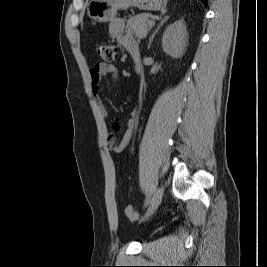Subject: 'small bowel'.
Returning a JSON list of instances; mask_svg holds the SVG:
<instances>
[{
  "mask_svg": "<svg viewBox=\"0 0 267 267\" xmlns=\"http://www.w3.org/2000/svg\"><path fill=\"white\" fill-rule=\"evenodd\" d=\"M109 33L112 38H115L132 56L136 61L140 59V48L135 39L126 31L124 22L117 18L114 19L109 25ZM91 84H92V94L94 96L96 105L99 109L100 114L106 118L108 116L107 110L99 96V84L102 77L106 75H112L116 78L118 75L117 68L113 64L108 63H98L96 64L91 72ZM137 124V115L127 119L123 126V135L121 139L116 142L115 133L121 129V122L116 119L113 123V132H111L107 137V147L113 153H122L130 142L134 128Z\"/></svg>",
  "mask_w": 267,
  "mask_h": 267,
  "instance_id": "1",
  "label": "small bowel"
}]
</instances>
